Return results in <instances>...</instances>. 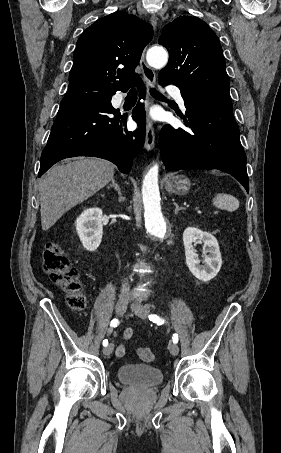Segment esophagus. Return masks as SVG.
Instances as JSON below:
<instances>
[{"mask_svg":"<svg viewBox=\"0 0 281 453\" xmlns=\"http://www.w3.org/2000/svg\"><path fill=\"white\" fill-rule=\"evenodd\" d=\"M151 24L155 29L156 26V17L153 15L151 17ZM140 66L142 68V73L147 81L149 87H153L156 82V76L154 70L149 67V65L145 61V51L142 54L141 60H140ZM154 143H155V131H154V126L152 121L148 118L147 120V125H146V137H145V143L144 147L146 150L150 151L154 148Z\"/></svg>","mask_w":281,"mask_h":453,"instance_id":"34e87169","label":"esophagus"}]
</instances>
